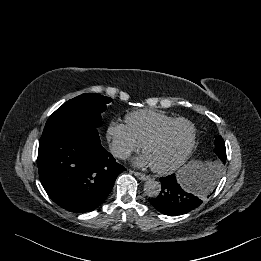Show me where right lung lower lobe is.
<instances>
[{
    "label": "right lung lower lobe",
    "instance_id": "98d812e1",
    "mask_svg": "<svg viewBox=\"0 0 261 261\" xmlns=\"http://www.w3.org/2000/svg\"><path fill=\"white\" fill-rule=\"evenodd\" d=\"M40 181L62 208L84 213L97 208L126 169L100 142L95 126L67 127L42 134L38 150Z\"/></svg>",
    "mask_w": 261,
    "mask_h": 261
}]
</instances>
